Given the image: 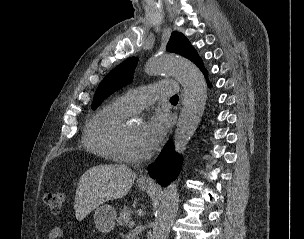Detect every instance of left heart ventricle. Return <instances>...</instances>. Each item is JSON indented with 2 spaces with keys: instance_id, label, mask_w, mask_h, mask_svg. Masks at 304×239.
<instances>
[{
  "instance_id": "left-heart-ventricle-1",
  "label": "left heart ventricle",
  "mask_w": 304,
  "mask_h": 239,
  "mask_svg": "<svg viewBox=\"0 0 304 239\" xmlns=\"http://www.w3.org/2000/svg\"><path fill=\"white\" fill-rule=\"evenodd\" d=\"M144 126L145 125L141 122L132 123L128 125L127 148L131 153L138 155L145 154L140 143V137Z\"/></svg>"
}]
</instances>
